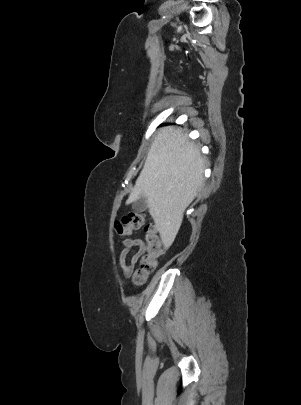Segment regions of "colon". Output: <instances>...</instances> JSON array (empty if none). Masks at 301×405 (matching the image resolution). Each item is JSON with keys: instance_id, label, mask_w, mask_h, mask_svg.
<instances>
[{"instance_id": "5ec220e1", "label": "colon", "mask_w": 301, "mask_h": 405, "mask_svg": "<svg viewBox=\"0 0 301 405\" xmlns=\"http://www.w3.org/2000/svg\"><path fill=\"white\" fill-rule=\"evenodd\" d=\"M145 220L146 215L143 212L130 211L120 221L115 222L114 228L118 235L127 236L143 227ZM163 253L164 247L157 228L152 224L146 225L139 267L134 273L136 284L145 282L148 275L157 268L159 259Z\"/></svg>"}]
</instances>
